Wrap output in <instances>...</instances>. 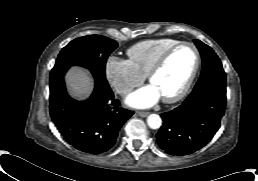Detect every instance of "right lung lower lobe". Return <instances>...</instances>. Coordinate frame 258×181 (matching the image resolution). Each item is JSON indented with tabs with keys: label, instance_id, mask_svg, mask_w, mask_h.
<instances>
[{
	"label": "right lung lower lobe",
	"instance_id": "1",
	"mask_svg": "<svg viewBox=\"0 0 258 181\" xmlns=\"http://www.w3.org/2000/svg\"><path fill=\"white\" fill-rule=\"evenodd\" d=\"M67 66L55 65L50 74V115L64 139L79 151L101 154L115 144L118 132L134 112L120 103L105 79L95 81L86 101L78 102L66 92Z\"/></svg>",
	"mask_w": 258,
	"mask_h": 181
}]
</instances>
